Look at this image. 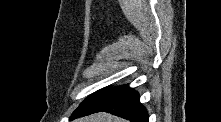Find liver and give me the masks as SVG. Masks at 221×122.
<instances>
[{
	"label": "liver",
	"mask_w": 221,
	"mask_h": 122,
	"mask_svg": "<svg viewBox=\"0 0 221 122\" xmlns=\"http://www.w3.org/2000/svg\"><path fill=\"white\" fill-rule=\"evenodd\" d=\"M76 122H126L124 119L111 114L101 112L84 118H79Z\"/></svg>",
	"instance_id": "obj_1"
}]
</instances>
